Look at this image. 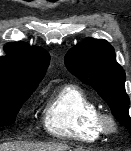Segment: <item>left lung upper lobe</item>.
Masks as SVG:
<instances>
[{
	"instance_id": "obj_1",
	"label": "left lung upper lobe",
	"mask_w": 131,
	"mask_h": 151,
	"mask_svg": "<svg viewBox=\"0 0 131 151\" xmlns=\"http://www.w3.org/2000/svg\"><path fill=\"white\" fill-rule=\"evenodd\" d=\"M65 64L73 75L97 91L120 124L131 131L126 76L116 62L113 47L106 40L86 38L68 51Z\"/></svg>"
}]
</instances>
